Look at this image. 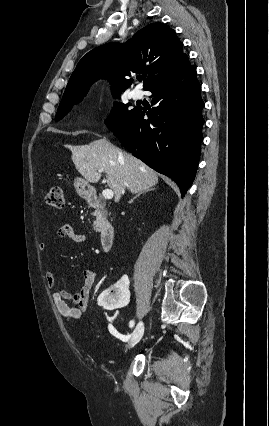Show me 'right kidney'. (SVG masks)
<instances>
[{
    "mask_svg": "<svg viewBox=\"0 0 269 426\" xmlns=\"http://www.w3.org/2000/svg\"><path fill=\"white\" fill-rule=\"evenodd\" d=\"M122 280L126 279L125 275L121 276ZM117 295L113 299L109 295L114 293L112 286H107L105 292L98 298V304L102 311H124L130 301V283L128 281H120L115 286Z\"/></svg>",
    "mask_w": 269,
    "mask_h": 426,
    "instance_id": "right-kidney-1",
    "label": "right kidney"
}]
</instances>
